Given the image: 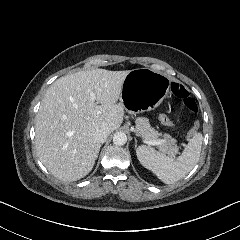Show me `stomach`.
Returning <instances> with one entry per match:
<instances>
[{
  "label": "stomach",
  "mask_w": 240,
  "mask_h": 240,
  "mask_svg": "<svg viewBox=\"0 0 240 240\" xmlns=\"http://www.w3.org/2000/svg\"><path fill=\"white\" fill-rule=\"evenodd\" d=\"M169 89V76L149 68L133 69L125 78L120 101L129 114L143 113L157 108Z\"/></svg>",
  "instance_id": "0dacf381"
}]
</instances>
